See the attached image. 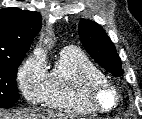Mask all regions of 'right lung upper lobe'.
I'll list each match as a JSON object with an SVG mask.
<instances>
[{"label":"right lung upper lobe","instance_id":"1","mask_svg":"<svg viewBox=\"0 0 142 119\" xmlns=\"http://www.w3.org/2000/svg\"><path fill=\"white\" fill-rule=\"evenodd\" d=\"M41 23L38 12L15 7L0 10V60L25 56Z\"/></svg>","mask_w":142,"mask_h":119}]
</instances>
